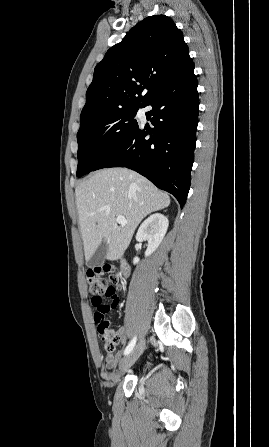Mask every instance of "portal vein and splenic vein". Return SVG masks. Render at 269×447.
I'll use <instances>...</instances> for the list:
<instances>
[{"instance_id":"obj_1","label":"portal vein and splenic vein","mask_w":269,"mask_h":447,"mask_svg":"<svg viewBox=\"0 0 269 447\" xmlns=\"http://www.w3.org/2000/svg\"><path fill=\"white\" fill-rule=\"evenodd\" d=\"M116 222L117 224H128V220H125L124 216H117Z\"/></svg>"}]
</instances>
